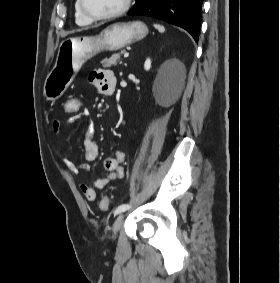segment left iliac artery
<instances>
[{"label":"left iliac artery","instance_id":"44dca946","mask_svg":"<svg viewBox=\"0 0 280 283\" xmlns=\"http://www.w3.org/2000/svg\"><path fill=\"white\" fill-rule=\"evenodd\" d=\"M129 208H130L129 204H121L115 209L114 214L118 215L119 213L124 212Z\"/></svg>","mask_w":280,"mask_h":283}]
</instances>
